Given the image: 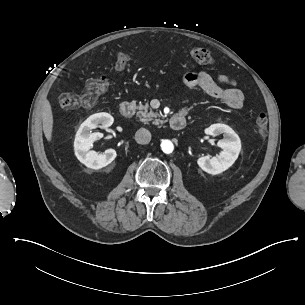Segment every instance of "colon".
Returning <instances> with one entry per match:
<instances>
[{
  "label": "colon",
  "mask_w": 305,
  "mask_h": 305,
  "mask_svg": "<svg viewBox=\"0 0 305 305\" xmlns=\"http://www.w3.org/2000/svg\"><path fill=\"white\" fill-rule=\"evenodd\" d=\"M191 56L200 64L211 66L215 70L220 69V64L211 56L208 49L205 47H195L191 50ZM131 60L129 53H120L115 61V71L124 70ZM108 80L103 75H95L91 77L85 85L83 95L77 96L73 93L65 92L59 96V103L67 109L78 107H92L101 94L108 90ZM268 118L264 113H260L256 118L257 133L260 140H263L266 135Z\"/></svg>",
  "instance_id": "5ec220e1"
}]
</instances>
